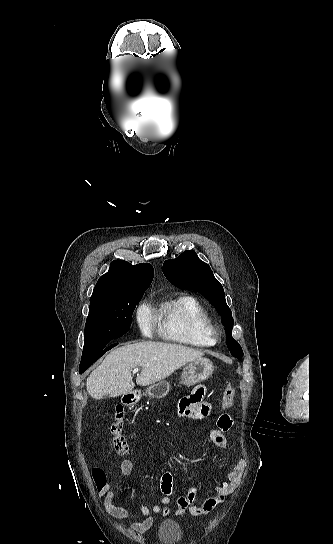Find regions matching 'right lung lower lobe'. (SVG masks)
I'll list each match as a JSON object with an SVG mask.
<instances>
[{
  "mask_svg": "<svg viewBox=\"0 0 333 544\" xmlns=\"http://www.w3.org/2000/svg\"><path fill=\"white\" fill-rule=\"evenodd\" d=\"M115 345H112V347ZM97 360V359H96ZM96 360L91 361L90 363L86 364L85 366L81 367L79 369V373L82 374L89 366H91Z\"/></svg>",
  "mask_w": 333,
  "mask_h": 544,
  "instance_id": "1",
  "label": "right lung lower lobe"
}]
</instances>
